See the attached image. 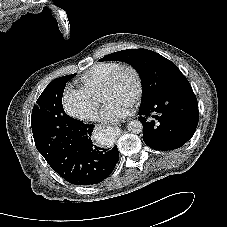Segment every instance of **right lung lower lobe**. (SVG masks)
Returning a JSON list of instances; mask_svg holds the SVG:
<instances>
[{"label":"right lung lower lobe","instance_id":"98d812e1","mask_svg":"<svg viewBox=\"0 0 227 227\" xmlns=\"http://www.w3.org/2000/svg\"><path fill=\"white\" fill-rule=\"evenodd\" d=\"M94 125L72 119L64 127L60 143L45 157L50 167L75 185H92L111 174L119 160V151L99 148L92 143Z\"/></svg>","mask_w":227,"mask_h":227}]
</instances>
